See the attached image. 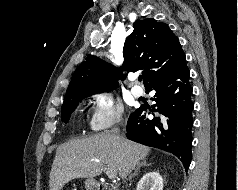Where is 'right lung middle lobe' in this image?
Returning a JSON list of instances; mask_svg holds the SVG:
<instances>
[{
  "mask_svg": "<svg viewBox=\"0 0 238 190\" xmlns=\"http://www.w3.org/2000/svg\"><path fill=\"white\" fill-rule=\"evenodd\" d=\"M89 95L90 94H79V95H73L68 98H65L64 103L61 108L62 121L67 123L68 119L70 117V114L76 108V106L78 105V102H80L83 98L88 97Z\"/></svg>",
  "mask_w": 238,
  "mask_h": 190,
  "instance_id": "1",
  "label": "right lung middle lobe"
}]
</instances>
